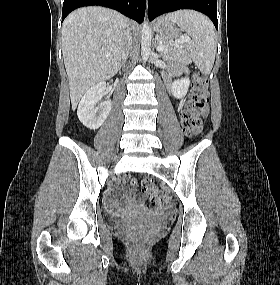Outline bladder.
I'll return each mask as SVG.
<instances>
[{
	"label": "bladder",
	"instance_id": "bladder-1",
	"mask_svg": "<svg viewBox=\"0 0 280 285\" xmlns=\"http://www.w3.org/2000/svg\"><path fill=\"white\" fill-rule=\"evenodd\" d=\"M107 221L110 224H116L122 222V219L120 217L114 216V215H107Z\"/></svg>",
	"mask_w": 280,
	"mask_h": 285
}]
</instances>
